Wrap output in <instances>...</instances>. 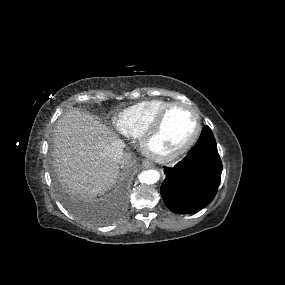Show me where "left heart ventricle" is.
<instances>
[{
    "label": "left heart ventricle",
    "mask_w": 285,
    "mask_h": 285,
    "mask_svg": "<svg viewBox=\"0 0 285 285\" xmlns=\"http://www.w3.org/2000/svg\"><path fill=\"white\" fill-rule=\"evenodd\" d=\"M195 127L196 117L189 109L174 108L167 115L158 135L152 140V150L168 153L180 147L192 136Z\"/></svg>",
    "instance_id": "obj_1"
}]
</instances>
